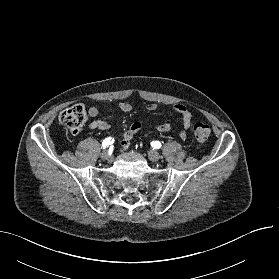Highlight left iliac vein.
I'll return each mask as SVG.
<instances>
[{
	"label": "left iliac vein",
	"instance_id": "obj_1",
	"mask_svg": "<svg viewBox=\"0 0 279 279\" xmlns=\"http://www.w3.org/2000/svg\"><path fill=\"white\" fill-rule=\"evenodd\" d=\"M148 157L153 162H157L161 158L160 154L156 151H150Z\"/></svg>",
	"mask_w": 279,
	"mask_h": 279
}]
</instances>
